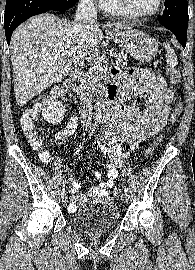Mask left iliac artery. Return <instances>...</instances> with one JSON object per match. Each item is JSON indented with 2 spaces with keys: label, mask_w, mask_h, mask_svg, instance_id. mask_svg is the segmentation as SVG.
<instances>
[{
  "label": "left iliac artery",
  "mask_w": 195,
  "mask_h": 270,
  "mask_svg": "<svg viewBox=\"0 0 195 270\" xmlns=\"http://www.w3.org/2000/svg\"><path fill=\"white\" fill-rule=\"evenodd\" d=\"M124 192L127 193L128 192V188L126 186H124Z\"/></svg>",
  "instance_id": "44dca946"
}]
</instances>
